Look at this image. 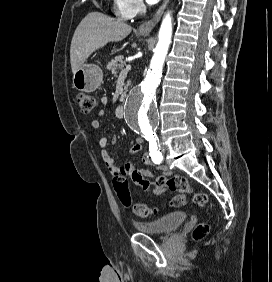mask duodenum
Instances as JSON below:
<instances>
[{
	"instance_id": "410a0bca",
	"label": "duodenum",
	"mask_w": 272,
	"mask_h": 282,
	"mask_svg": "<svg viewBox=\"0 0 272 282\" xmlns=\"http://www.w3.org/2000/svg\"><path fill=\"white\" fill-rule=\"evenodd\" d=\"M122 111V107L119 108V113Z\"/></svg>"
}]
</instances>
